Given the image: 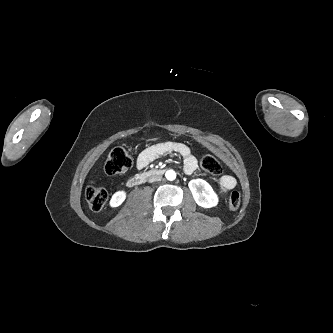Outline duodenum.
I'll return each mask as SVG.
<instances>
[{
	"label": "duodenum",
	"instance_id": "410a0bca",
	"mask_svg": "<svg viewBox=\"0 0 333 333\" xmlns=\"http://www.w3.org/2000/svg\"><path fill=\"white\" fill-rule=\"evenodd\" d=\"M163 169H151L147 172L139 173L137 175H134L130 177L127 180V186L129 187H135L143 184L148 178L152 177H158L164 174Z\"/></svg>",
	"mask_w": 333,
	"mask_h": 333
}]
</instances>
